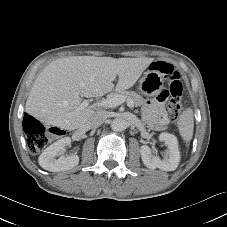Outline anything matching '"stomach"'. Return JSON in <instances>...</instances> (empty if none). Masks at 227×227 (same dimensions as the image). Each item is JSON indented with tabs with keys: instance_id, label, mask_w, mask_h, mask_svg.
<instances>
[{
	"instance_id": "obj_1",
	"label": "stomach",
	"mask_w": 227,
	"mask_h": 227,
	"mask_svg": "<svg viewBox=\"0 0 227 227\" xmlns=\"http://www.w3.org/2000/svg\"><path fill=\"white\" fill-rule=\"evenodd\" d=\"M162 75L156 70H148L139 80V90L145 96H156L163 89Z\"/></svg>"
}]
</instances>
